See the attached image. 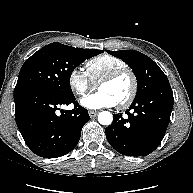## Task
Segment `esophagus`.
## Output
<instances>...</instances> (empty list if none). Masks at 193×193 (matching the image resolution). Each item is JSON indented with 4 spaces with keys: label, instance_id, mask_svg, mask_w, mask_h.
<instances>
[{
    "label": "esophagus",
    "instance_id": "esophagus-1",
    "mask_svg": "<svg viewBox=\"0 0 193 193\" xmlns=\"http://www.w3.org/2000/svg\"><path fill=\"white\" fill-rule=\"evenodd\" d=\"M97 114H98V111H93V110H90V111H89V116H90L91 118L96 117Z\"/></svg>",
    "mask_w": 193,
    "mask_h": 193
}]
</instances>
